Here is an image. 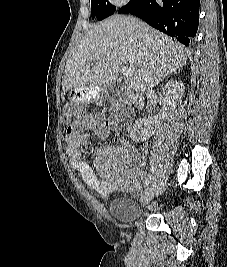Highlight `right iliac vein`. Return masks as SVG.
<instances>
[{
    "mask_svg": "<svg viewBox=\"0 0 227 267\" xmlns=\"http://www.w3.org/2000/svg\"><path fill=\"white\" fill-rule=\"evenodd\" d=\"M156 190L154 187L149 188L141 198V205L144 206L149 203L155 196Z\"/></svg>",
    "mask_w": 227,
    "mask_h": 267,
    "instance_id": "obj_1",
    "label": "right iliac vein"
}]
</instances>
